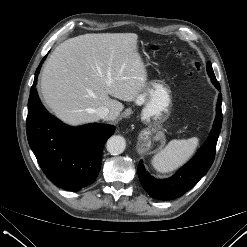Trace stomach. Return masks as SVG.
<instances>
[{"label": "stomach", "instance_id": "1", "mask_svg": "<svg viewBox=\"0 0 247 247\" xmlns=\"http://www.w3.org/2000/svg\"><path fill=\"white\" fill-rule=\"evenodd\" d=\"M135 101L137 105H143L141 119L144 123L160 124L170 115L171 89L164 81L152 80L146 83Z\"/></svg>", "mask_w": 247, "mask_h": 247}]
</instances>
